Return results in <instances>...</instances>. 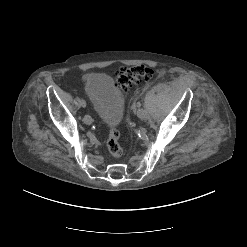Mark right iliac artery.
I'll use <instances>...</instances> for the list:
<instances>
[{"mask_svg": "<svg viewBox=\"0 0 247 247\" xmlns=\"http://www.w3.org/2000/svg\"><path fill=\"white\" fill-rule=\"evenodd\" d=\"M79 105H80V107H82L84 109L87 108V106H88L84 100H81Z\"/></svg>", "mask_w": 247, "mask_h": 247, "instance_id": "1", "label": "right iliac artery"}]
</instances>
